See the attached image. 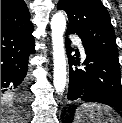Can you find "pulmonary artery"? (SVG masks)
<instances>
[{
    "label": "pulmonary artery",
    "instance_id": "obj_1",
    "mask_svg": "<svg viewBox=\"0 0 122 123\" xmlns=\"http://www.w3.org/2000/svg\"><path fill=\"white\" fill-rule=\"evenodd\" d=\"M72 38L77 42L79 49H80V52H81L82 56L84 57L85 52H84V48H83L82 44L75 37H72Z\"/></svg>",
    "mask_w": 122,
    "mask_h": 123
}]
</instances>
